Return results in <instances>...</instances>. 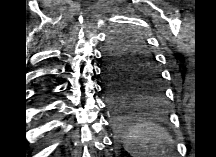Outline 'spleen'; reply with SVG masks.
I'll use <instances>...</instances> for the list:
<instances>
[{"label":"spleen","mask_w":216,"mask_h":157,"mask_svg":"<svg viewBox=\"0 0 216 157\" xmlns=\"http://www.w3.org/2000/svg\"><path fill=\"white\" fill-rule=\"evenodd\" d=\"M123 143L132 157L163 155L162 150L174 147L173 139L164 127L145 120L133 123L123 135Z\"/></svg>","instance_id":"3e777b00"}]
</instances>
